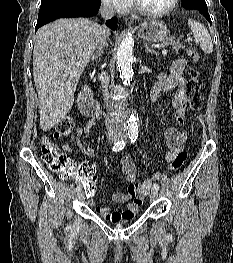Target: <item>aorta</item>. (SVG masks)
<instances>
[{
  "label": "aorta",
  "instance_id": "1",
  "mask_svg": "<svg viewBox=\"0 0 233 263\" xmlns=\"http://www.w3.org/2000/svg\"><path fill=\"white\" fill-rule=\"evenodd\" d=\"M133 45L132 38L125 37L117 50V64L119 67L120 77L125 83H129L134 76L133 68ZM128 129L130 131H137V118L134 111L130 112L128 119Z\"/></svg>",
  "mask_w": 233,
  "mask_h": 263
}]
</instances>
